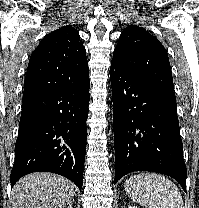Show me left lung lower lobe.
I'll return each mask as SVG.
<instances>
[{"label":"left lung lower lobe","mask_w":199,"mask_h":208,"mask_svg":"<svg viewBox=\"0 0 199 208\" xmlns=\"http://www.w3.org/2000/svg\"><path fill=\"white\" fill-rule=\"evenodd\" d=\"M115 183L132 171H152L176 179L186 192L173 90L145 81L111 63Z\"/></svg>","instance_id":"0a47b994"}]
</instances>
